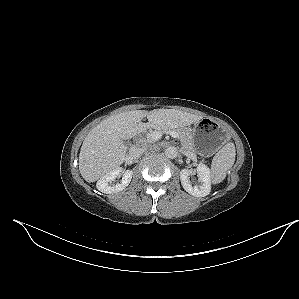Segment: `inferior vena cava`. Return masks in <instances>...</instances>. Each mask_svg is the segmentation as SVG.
Instances as JSON below:
<instances>
[{
    "instance_id": "1",
    "label": "inferior vena cava",
    "mask_w": 299,
    "mask_h": 299,
    "mask_svg": "<svg viewBox=\"0 0 299 299\" xmlns=\"http://www.w3.org/2000/svg\"><path fill=\"white\" fill-rule=\"evenodd\" d=\"M147 150V146L145 145H133L129 149V156L132 159H138L142 156V154Z\"/></svg>"
}]
</instances>
